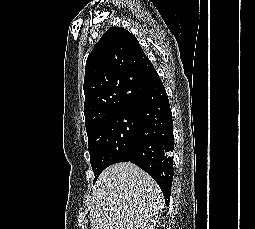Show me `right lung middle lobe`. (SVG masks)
<instances>
[{"mask_svg": "<svg viewBox=\"0 0 255 229\" xmlns=\"http://www.w3.org/2000/svg\"><path fill=\"white\" fill-rule=\"evenodd\" d=\"M138 125V118L124 109L88 137L90 162L95 175L93 183L106 167L129 160Z\"/></svg>", "mask_w": 255, "mask_h": 229, "instance_id": "1", "label": "right lung middle lobe"}]
</instances>
